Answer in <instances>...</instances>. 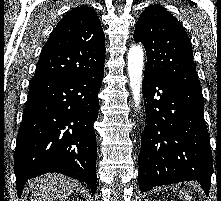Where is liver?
I'll list each match as a JSON object with an SVG mask.
<instances>
[{
    "label": "liver",
    "mask_w": 221,
    "mask_h": 201,
    "mask_svg": "<svg viewBox=\"0 0 221 201\" xmlns=\"http://www.w3.org/2000/svg\"><path fill=\"white\" fill-rule=\"evenodd\" d=\"M78 183L64 175L46 174L28 183L31 201H63L68 198Z\"/></svg>",
    "instance_id": "obj_1"
}]
</instances>
